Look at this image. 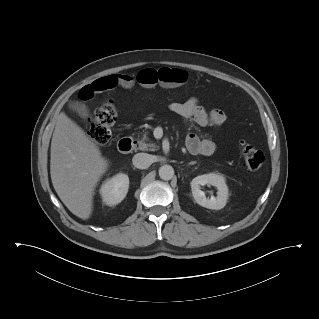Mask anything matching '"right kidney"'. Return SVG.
Here are the masks:
<instances>
[{"mask_svg": "<svg viewBox=\"0 0 319 319\" xmlns=\"http://www.w3.org/2000/svg\"><path fill=\"white\" fill-rule=\"evenodd\" d=\"M128 188L129 177L126 174L119 173L107 179L100 188L103 202L108 206L120 203L125 198Z\"/></svg>", "mask_w": 319, "mask_h": 319, "instance_id": "1", "label": "right kidney"}]
</instances>
